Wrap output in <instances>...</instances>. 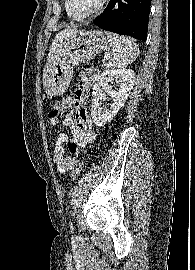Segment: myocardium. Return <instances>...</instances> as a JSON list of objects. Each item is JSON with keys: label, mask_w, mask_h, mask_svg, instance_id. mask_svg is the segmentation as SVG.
Listing matches in <instances>:
<instances>
[{"label": "myocardium", "mask_w": 195, "mask_h": 270, "mask_svg": "<svg viewBox=\"0 0 195 270\" xmlns=\"http://www.w3.org/2000/svg\"><path fill=\"white\" fill-rule=\"evenodd\" d=\"M107 1L108 0H101L99 2V4L92 11H90L88 13H79L75 9L72 0H67V3H68V7H69L70 11L73 14H75L77 17H79V18H81L83 20V19H88V18H91V17L97 15L104 8V6L106 5Z\"/></svg>", "instance_id": "1"}]
</instances>
